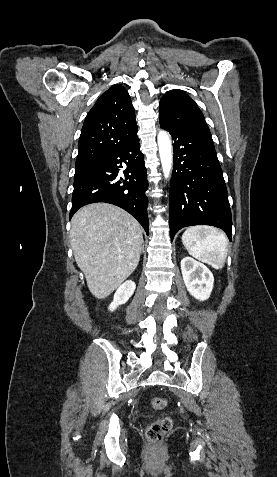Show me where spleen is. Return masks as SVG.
Returning <instances> with one entry per match:
<instances>
[{"instance_id": "3e777b00", "label": "spleen", "mask_w": 277, "mask_h": 477, "mask_svg": "<svg viewBox=\"0 0 277 477\" xmlns=\"http://www.w3.org/2000/svg\"><path fill=\"white\" fill-rule=\"evenodd\" d=\"M182 242L190 255L222 269L227 257L228 239L219 229L211 226H191L182 235Z\"/></svg>"}]
</instances>
